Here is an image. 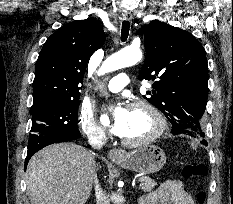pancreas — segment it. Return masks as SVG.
Masks as SVG:
<instances>
[{"mask_svg": "<svg viewBox=\"0 0 233 204\" xmlns=\"http://www.w3.org/2000/svg\"><path fill=\"white\" fill-rule=\"evenodd\" d=\"M140 181H141L140 187L144 192H151L154 189V187L157 185V183L149 177H141Z\"/></svg>", "mask_w": 233, "mask_h": 204, "instance_id": "cf45deb5", "label": "pancreas"}]
</instances>
